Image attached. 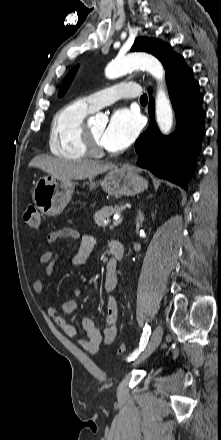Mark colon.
Segmentation results:
<instances>
[{
	"mask_svg": "<svg viewBox=\"0 0 221 440\" xmlns=\"http://www.w3.org/2000/svg\"><path fill=\"white\" fill-rule=\"evenodd\" d=\"M25 221L27 225L34 229V230H40L41 228V214L38 208L35 206H29L25 212L24 215ZM126 351V345L121 344L118 348V353L123 354Z\"/></svg>",
	"mask_w": 221,
	"mask_h": 440,
	"instance_id": "5ec220e1",
	"label": "colon"
}]
</instances>
